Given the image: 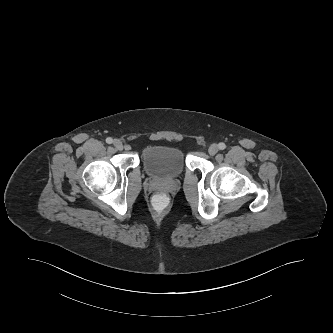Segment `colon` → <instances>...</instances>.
<instances>
[{
    "label": "colon",
    "mask_w": 333,
    "mask_h": 333,
    "mask_svg": "<svg viewBox=\"0 0 333 333\" xmlns=\"http://www.w3.org/2000/svg\"><path fill=\"white\" fill-rule=\"evenodd\" d=\"M168 201V194L164 191H158L152 196L150 202L153 211L160 214L166 211Z\"/></svg>",
    "instance_id": "colon-1"
}]
</instances>
